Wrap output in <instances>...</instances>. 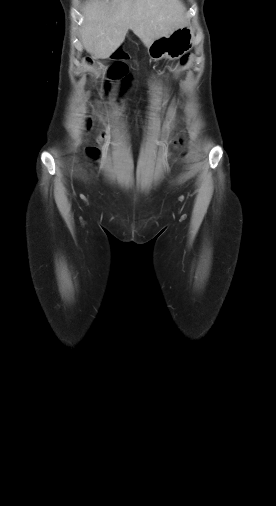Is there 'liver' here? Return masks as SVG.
Masks as SVG:
<instances>
[{"instance_id":"obj_1","label":"liver","mask_w":276,"mask_h":506,"mask_svg":"<svg viewBox=\"0 0 276 506\" xmlns=\"http://www.w3.org/2000/svg\"><path fill=\"white\" fill-rule=\"evenodd\" d=\"M180 0H89L81 29L84 49L107 58L123 43L129 29L148 46L186 24Z\"/></svg>"}]
</instances>
